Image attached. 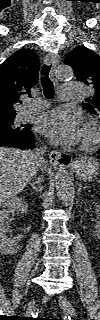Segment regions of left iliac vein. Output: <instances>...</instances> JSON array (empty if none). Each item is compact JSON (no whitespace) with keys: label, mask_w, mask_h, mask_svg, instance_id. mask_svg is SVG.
Returning <instances> with one entry per match:
<instances>
[{"label":"left iliac vein","mask_w":100,"mask_h":320,"mask_svg":"<svg viewBox=\"0 0 100 320\" xmlns=\"http://www.w3.org/2000/svg\"><path fill=\"white\" fill-rule=\"evenodd\" d=\"M59 304L61 308L69 315L76 317V310L71 302L65 296L59 297Z\"/></svg>","instance_id":"4c4485c4"}]
</instances>
